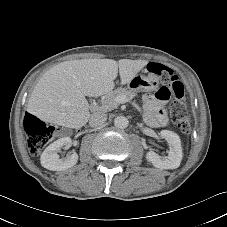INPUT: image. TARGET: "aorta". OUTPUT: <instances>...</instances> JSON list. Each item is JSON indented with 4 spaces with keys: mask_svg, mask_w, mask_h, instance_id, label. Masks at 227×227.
I'll list each match as a JSON object with an SVG mask.
<instances>
[{
    "mask_svg": "<svg viewBox=\"0 0 227 227\" xmlns=\"http://www.w3.org/2000/svg\"><path fill=\"white\" fill-rule=\"evenodd\" d=\"M129 121L124 116H117L114 119V126L118 129H125L128 127Z\"/></svg>",
    "mask_w": 227,
    "mask_h": 227,
    "instance_id": "obj_1",
    "label": "aorta"
}]
</instances>
